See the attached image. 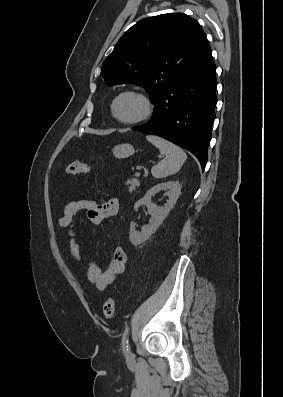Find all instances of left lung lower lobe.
Segmentation results:
<instances>
[{
    "label": "left lung lower lobe",
    "mask_w": 283,
    "mask_h": 397,
    "mask_svg": "<svg viewBox=\"0 0 283 397\" xmlns=\"http://www.w3.org/2000/svg\"><path fill=\"white\" fill-rule=\"evenodd\" d=\"M215 73L210 51L163 94L150 121L132 129L160 136L190 151L204 169L217 103Z\"/></svg>",
    "instance_id": "obj_1"
}]
</instances>
